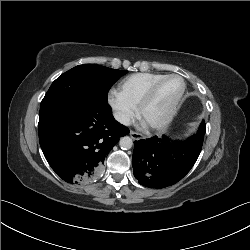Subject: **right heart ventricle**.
<instances>
[{"label": "right heart ventricle", "instance_id": "obj_1", "mask_svg": "<svg viewBox=\"0 0 250 250\" xmlns=\"http://www.w3.org/2000/svg\"><path fill=\"white\" fill-rule=\"evenodd\" d=\"M163 76L161 73L131 74L120 82L119 92L128 102L137 106L149 87Z\"/></svg>", "mask_w": 250, "mask_h": 250}]
</instances>
